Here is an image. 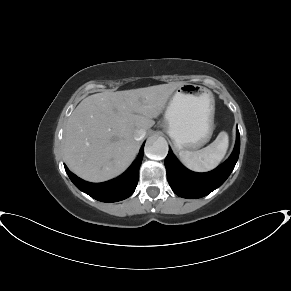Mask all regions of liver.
I'll return each instance as SVG.
<instances>
[{
	"label": "liver",
	"mask_w": 291,
	"mask_h": 291,
	"mask_svg": "<svg viewBox=\"0 0 291 291\" xmlns=\"http://www.w3.org/2000/svg\"><path fill=\"white\" fill-rule=\"evenodd\" d=\"M182 83H169L83 99L69 117L63 139L64 161L77 176L103 182L123 173L140 144L138 129L149 130Z\"/></svg>",
	"instance_id": "1"
}]
</instances>
